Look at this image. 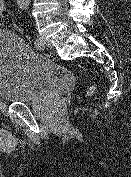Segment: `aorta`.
Listing matches in <instances>:
<instances>
[{
  "label": "aorta",
  "instance_id": "aorta-1",
  "mask_svg": "<svg viewBox=\"0 0 131 177\" xmlns=\"http://www.w3.org/2000/svg\"><path fill=\"white\" fill-rule=\"evenodd\" d=\"M30 2V0H17V3L19 4V5H26V4H28Z\"/></svg>",
  "mask_w": 131,
  "mask_h": 177
}]
</instances>
